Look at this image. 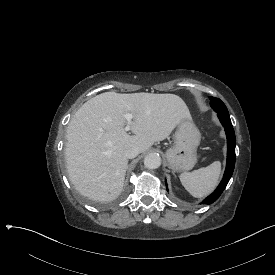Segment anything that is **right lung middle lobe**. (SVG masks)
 <instances>
[{
  "mask_svg": "<svg viewBox=\"0 0 275 275\" xmlns=\"http://www.w3.org/2000/svg\"><path fill=\"white\" fill-rule=\"evenodd\" d=\"M69 188L73 189L74 185L70 184ZM128 190H129V186L125 185L123 192L120 195L121 199L117 198L116 202H96L94 200L89 201L88 199L90 198V195L86 194V193L81 194V190L78 187L74 188L73 196L79 200H82V202L85 203L86 205L90 204L91 206H94V207H119L122 205V203H123L122 199H124L126 197Z\"/></svg>",
  "mask_w": 275,
  "mask_h": 275,
  "instance_id": "right-lung-middle-lobe-1",
  "label": "right lung middle lobe"
}]
</instances>
